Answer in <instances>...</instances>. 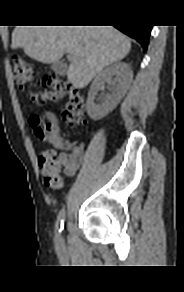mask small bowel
<instances>
[{
	"instance_id": "obj_1",
	"label": "small bowel",
	"mask_w": 184,
	"mask_h": 292,
	"mask_svg": "<svg viewBox=\"0 0 184 292\" xmlns=\"http://www.w3.org/2000/svg\"><path fill=\"white\" fill-rule=\"evenodd\" d=\"M54 144L56 146L65 145L67 148H70L69 142L60 137L58 129L54 139ZM83 160L84 150L82 146H74L71 148L70 153L60 152L58 156V161L63 168V172L68 176L75 174L77 169L81 166Z\"/></svg>"
}]
</instances>
